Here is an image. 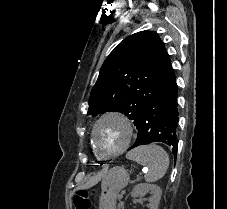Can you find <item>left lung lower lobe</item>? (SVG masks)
I'll return each instance as SVG.
<instances>
[{
	"instance_id": "0a47b994",
	"label": "left lung lower lobe",
	"mask_w": 227,
	"mask_h": 209,
	"mask_svg": "<svg viewBox=\"0 0 227 209\" xmlns=\"http://www.w3.org/2000/svg\"><path fill=\"white\" fill-rule=\"evenodd\" d=\"M178 120L177 85L173 75L144 108L136 124L138 137L130 149L153 142H162L170 146L176 154Z\"/></svg>"
}]
</instances>
